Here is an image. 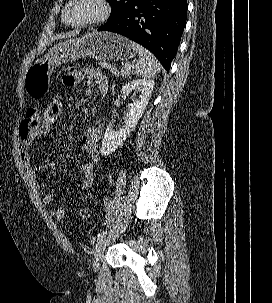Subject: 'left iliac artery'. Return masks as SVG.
Here are the masks:
<instances>
[{"label":"left iliac artery","mask_w":272,"mask_h":303,"mask_svg":"<svg viewBox=\"0 0 272 303\" xmlns=\"http://www.w3.org/2000/svg\"><path fill=\"white\" fill-rule=\"evenodd\" d=\"M107 235V231H102L97 235V239H100L102 237H105Z\"/></svg>","instance_id":"left-iliac-artery-1"}]
</instances>
